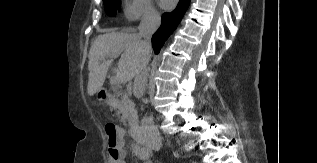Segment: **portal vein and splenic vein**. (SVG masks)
<instances>
[{"label":"portal vein and splenic vein","instance_id":"18ae733b","mask_svg":"<svg viewBox=\"0 0 317 163\" xmlns=\"http://www.w3.org/2000/svg\"><path fill=\"white\" fill-rule=\"evenodd\" d=\"M120 80H121V77H120L119 73H117L116 76H112L110 78V83L111 84H117V83L120 82Z\"/></svg>","mask_w":317,"mask_h":163}]
</instances>
